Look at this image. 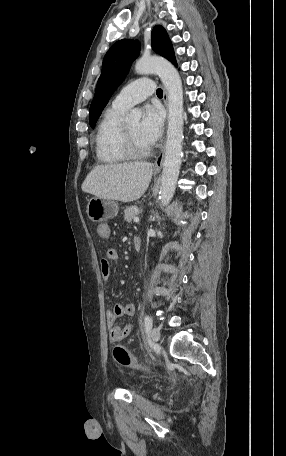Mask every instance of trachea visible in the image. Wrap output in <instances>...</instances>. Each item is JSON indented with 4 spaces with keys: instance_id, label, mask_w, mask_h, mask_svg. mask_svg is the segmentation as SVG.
<instances>
[{
    "instance_id": "trachea-1",
    "label": "trachea",
    "mask_w": 286,
    "mask_h": 456,
    "mask_svg": "<svg viewBox=\"0 0 286 456\" xmlns=\"http://www.w3.org/2000/svg\"><path fill=\"white\" fill-rule=\"evenodd\" d=\"M156 93H157V96H163V91L160 88L157 89Z\"/></svg>"
}]
</instances>
